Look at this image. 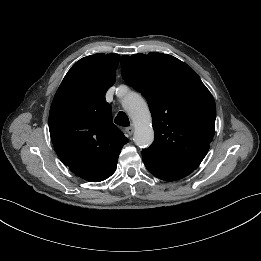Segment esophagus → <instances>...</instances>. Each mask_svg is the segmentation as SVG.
<instances>
[{"label": "esophagus", "mask_w": 261, "mask_h": 261, "mask_svg": "<svg viewBox=\"0 0 261 261\" xmlns=\"http://www.w3.org/2000/svg\"><path fill=\"white\" fill-rule=\"evenodd\" d=\"M125 131L128 135L131 136L134 132V128H133V126H129V127H126Z\"/></svg>", "instance_id": "1"}]
</instances>
